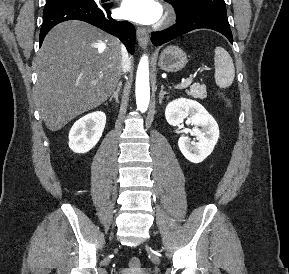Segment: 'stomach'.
Masks as SVG:
<instances>
[{
	"label": "stomach",
	"instance_id": "1",
	"mask_svg": "<svg viewBox=\"0 0 289 274\" xmlns=\"http://www.w3.org/2000/svg\"><path fill=\"white\" fill-rule=\"evenodd\" d=\"M188 59L186 53L176 46H168L160 56L158 65L166 72H177L185 67Z\"/></svg>",
	"mask_w": 289,
	"mask_h": 274
}]
</instances>
